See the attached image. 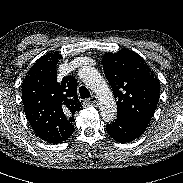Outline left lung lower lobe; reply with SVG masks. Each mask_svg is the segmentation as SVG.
I'll use <instances>...</instances> for the list:
<instances>
[{
	"label": "left lung lower lobe",
	"mask_w": 183,
	"mask_h": 183,
	"mask_svg": "<svg viewBox=\"0 0 183 183\" xmlns=\"http://www.w3.org/2000/svg\"><path fill=\"white\" fill-rule=\"evenodd\" d=\"M146 127L145 123L117 117L114 122L106 125V131L117 142L126 143L140 137Z\"/></svg>",
	"instance_id": "1"
}]
</instances>
